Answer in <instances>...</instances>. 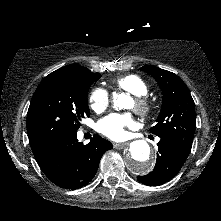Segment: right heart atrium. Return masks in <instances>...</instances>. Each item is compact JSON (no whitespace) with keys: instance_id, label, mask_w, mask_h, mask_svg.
<instances>
[{"instance_id":"1","label":"right heart atrium","mask_w":221,"mask_h":221,"mask_svg":"<svg viewBox=\"0 0 221 221\" xmlns=\"http://www.w3.org/2000/svg\"><path fill=\"white\" fill-rule=\"evenodd\" d=\"M110 104V95L104 88L97 87L89 95V105L96 113L105 111Z\"/></svg>"}]
</instances>
